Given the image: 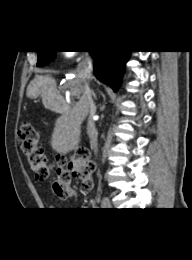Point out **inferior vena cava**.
I'll list each match as a JSON object with an SVG mask.
<instances>
[{"label":"inferior vena cava","instance_id":"1","mask_svg":"<svg viewBox=\"0 0 192 260\" xmlns=\"http://www.w3.org/2000/svg\"><path fill=\"white\" fill-rule=\"evenodd\" d=\"M92 69V58L89 55H86V57L77 66V73L83 84V95L86 99L90 114L94 113L96 109L89 87ZM87 133L90 138L91 147L94 150L95 154H97V134L94 123L91 120H89L87 124Z\"/></svg>","mask_w":192,"mask_h":260}]
</instances>
